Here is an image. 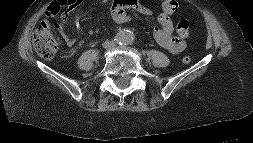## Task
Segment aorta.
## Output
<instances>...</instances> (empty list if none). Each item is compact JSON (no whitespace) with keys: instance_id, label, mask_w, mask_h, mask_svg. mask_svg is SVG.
<instances>
[{"instance_id":"762f6f07","label":"aorta","mask_w":253,"mask_h":143,"mask_svg":"<svg viewBox=\"0 0 253 143\" xmlns=\"http://www.w3.org/2000/svg\"><path fill=\"white\" fill-rule=\"evenodd\" d=\"M134 35L129 30H121L117 33V41L120 44H129L133 41Z\"/></svg>"}]
</instances>
